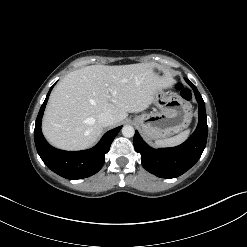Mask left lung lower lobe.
Here are the masks:
<instances>
[{
	"instance_id": "0a47b994",
	"label": "left lung lower lobe",
	"mask_w": 247,
	"mask_h": 247,
	"mask_svg": "<svg viewBox=\"0 0 247 247\" xmlns=\"http://www.w3.org/2000/svg\"><path fill=\"white\" fill-rule=\"evenodd\" d=\"M185 80L193 89L199 104V122L192 136L177 147L155 150L144 142L137 131L134 135V147L141 154L143 167L161 178H175L185 173L199 160L206 146L208 126L205 103L196 86Z\"/></svg>"
}]
</instances>
